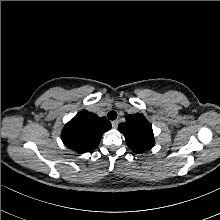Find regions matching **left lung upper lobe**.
I'll return each instance as SVG.
<instances>
[{"instance_id":"1","label":"left lung upper lobe","mask_w":220,"mask_h":220,"mask_svg":"<svg viewBox=\"0 0 220 220\" xmlns=\"http://www.w3.org/2000/svg\"><path fill=\"white\" fill-rule=\"evenodd\" d=\"M126 121L119 124L118 129L123 133L128 147L136 153L151 149L154 144V135L151 124L143 114L127 115Z\"/></svg>"}]
</instances>
